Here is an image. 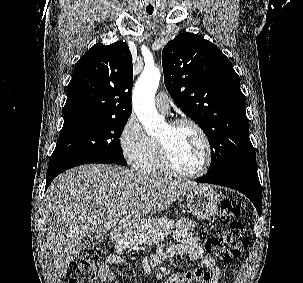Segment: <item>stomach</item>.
I'll list each match as a JSON object with an SVG mask.
<instances>
[{"label":"stomach","instance_id":"1","mask_svg":"<svg viewBox=\"0 0 303 283\" xmlns=\"http://www.w3.org/2000/svg\"><path fill=\"white\" fill-rule=\"evenodd\" d=\"M186 202L190 213L200 219L207 220L217 213L221 197L217 191L203 185L189 190Z\"/></svg>","mask_w":303,"mask_h":283}]
</instances>
